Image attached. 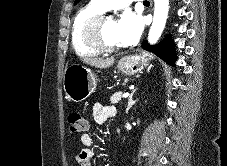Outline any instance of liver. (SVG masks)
Segmentation results:
<instances>
[{
	"label": "liver",
	"instance_id": "liver-1",
	"mask_svg": "<svg viewBox=\"0 0 227 166\" xmlns=\"http://www.w3.org/2000/svg\"><path fill=\"white\" fill-rule=\"evenodd\" d=\"M87 65H91L96 68H108L114 64V57L111 58H92V57H85L81 59Z\"/></svg>",
	"mask_w": 227,
	"mask_h": 166
}]
</instances>
